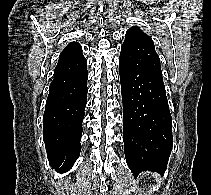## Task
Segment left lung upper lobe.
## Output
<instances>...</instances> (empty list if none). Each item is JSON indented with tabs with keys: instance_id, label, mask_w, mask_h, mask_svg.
Returning a JSON list of instances; mask_svg holds the SVG:
<instances>
[{
	"instance_id": "5c2ea615",
	"label": "left lung upper lobe",
	"mask_w": 211,
	"mask_h": 195,
	"mask_svg": "<svg viewBox=\"0 0 211 195\" xmlns=\"http://www.w3.org/2000/svg\"><path fill=\"white\" fill-rule=\"evenodd\" d=\"M120 55L134 65L149 67L162 77L160 59L154 43L139 27L133 26L127 30Z\"/></svg>"
}]
</instances>
